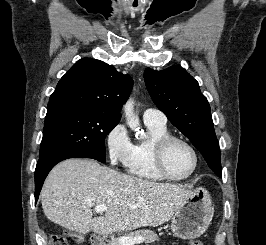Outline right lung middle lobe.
<instances>
[{
  "instance_id": "obj_1",
  "label": "right lung middle lobe",
  "mask_w": 266,
  "mask_h": 245,
  "mask_svg": "<svg viewBox=\"0 0 266 245\" xmlns=\"http://www.w3.org/2000/svg\"><path fill=\"white\" fill-rule=\"evenodd\" d=\"M120 118L90 109H74L46 116L39 158L57 151H73L104 163V140Z\"/></svg>"
}]
</instances>
